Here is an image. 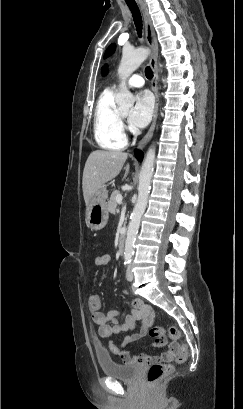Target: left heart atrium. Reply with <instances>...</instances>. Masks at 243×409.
<instances>
[{
    "mask_svg": "<svg viewBox=\"0 0 243 409\" xmlns=\"http://www.w3.org/2000/svg\"><path fill=\"white\" fill-rule=\"evenodd\" d=\"M153 100L148 91H141L136 96V102L128 113V121L136 128L145 127L151 120Z\"/></svg>",
    "mask_w": 243,
    "mask_h": 409,
    "instance_id": "left-heart-atrium-1",
    "label": "left heart atrium"
}]
</instances>
